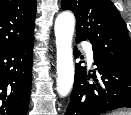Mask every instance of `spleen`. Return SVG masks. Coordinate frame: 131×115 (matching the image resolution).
Segmentation results:
<instances>
[{"label":"spleen","instance_id":"1","mask_svg":"<svg viewBox=\"0 0 131 115\" xmlns=\"http://www.w3.org/2000/svg\"><path fill=\"white\" fill-rule=\"evenodd\" d=\"M111 115H131V112H128V111H117V112H114Z\"/></svg>","mask_w":131,"mask_h":115}]
</instances>
